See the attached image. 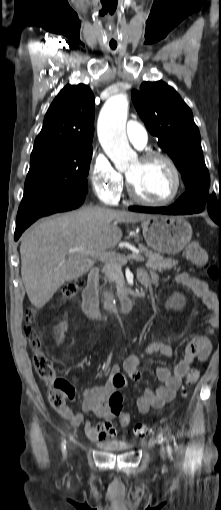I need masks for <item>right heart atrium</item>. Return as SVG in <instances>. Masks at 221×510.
Listing matches in <instances>:
<instances>
[{"label":"right heart atrium","instance_id":"right-heart-atrium-1","mask_svg":"<svg viewBox=\"0 0 221 510\" xmlns=\"http://www.w3.org/2000/svg\"><path fill=\"white\" fill-rule=\"evenodd\" d=\"M91 186L105 204H115L124 187L123 176L115 169L108 157L95 151L89 167Z\"/></svg>","mask_w":221,"mask_h":510}]
</instances>
